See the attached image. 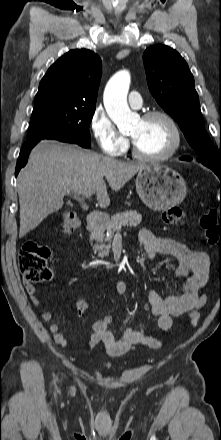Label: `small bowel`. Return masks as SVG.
<instances>
[{"label":"small bowel","instance_id":"small-bowel-1","mask_svg":"<svg viewBox=\"0 0 221 440\" xmlns=\"http://www.w3.org/2000/svg\"><path fill=\"white\" fill-rule=\"evenodd\" d=\"M139 243L143 246L149 259L158 254H167L176 257L179 262L174 272L172 291L169 296L162 297L152 289H148L146 293L152 315L156 319L160 332L166 334L171 330L172 318L175 316L187 315L190 325H196L207 301L206 296L201 295L200 292L209 278L210 260L208 255L203 251L192 250L179 241L157 238L147 229L140 231ZM24 286L31 303L39 306L41 301L36 295L34 286L27 281H24ZM115 288L119 295H124L128 291V284L120 280L116 283ZM41 318L44 321H50L52 313L44 311L41 313ZM49 329L59 345L69 346L67 338L56 323H51ZM98 343H102L106 352L112 356L122 355L137 346L155 349L162 345V341L158 337L143 329H127L121 338H116L109 329V324L103 323V318L93 323V334L87 345L92 347Z\"/></svg>","mask_w":221,"mask_h":440}]
</instances>
